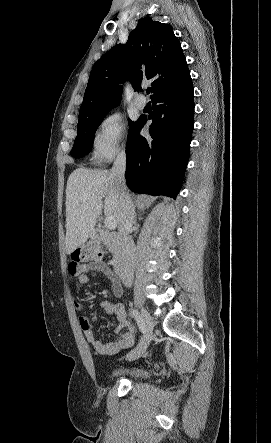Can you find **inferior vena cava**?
Instances as JSON below:
<instances>
[{
    "label": "inferior vena cava",
    "instance_id": "1",
    "mask_svg": "<svg viewBox=\"0 0 271 443\" xmlns=\"http://www.w3.org/2000/svg\"><path fill=\"white\" fill-rule=\"evenodd\" d=\"M125 170H126V154L122 150L121 154H118L112 170H110V178H112L119 194L122 208V216L119 223V231L123 235V241L119 247L117 255L114 257V267L121 275V279L125 287L133 285L134 269H135V243L129 235L132 231V225L134 223V204L130 198V194L127 190L125 182Z\"/></svg>",
    "mask_w": 271,
    "mask_h": 443
}]
</instances>
